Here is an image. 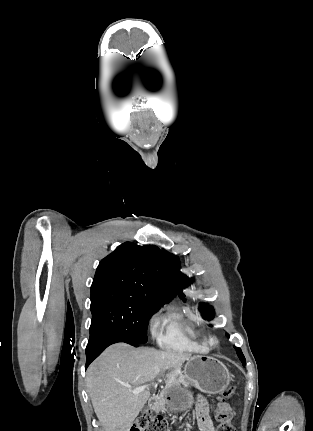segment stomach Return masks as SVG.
<instances>
[{
  "mask_svg": "<svg viewBox=\"0 0 313 431\" xmlns=\"http://www.w3.org/2000/svg\"><path fill=\"white\" fill-rule=\"evenodd\" d=\"M183 376L193 386L207 394H217L225 390L231 381V374L227 367L218 359L196 355L189 358L183 370ZM165 397L172 410H184L191 407L193 394L186 388L169 380Z\"/></svg>",
  "mask_w": 313,
  "mask_h": 431,
  "instance_id": "obj_1",
  "label": "stomach"
}]
</instances>
